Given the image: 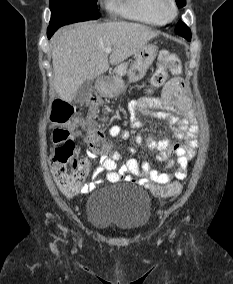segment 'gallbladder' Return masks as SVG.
Wrapping results in <instances>:
<instances>
[{
	"mask_svg": "<svg viewBox=\"0 0 233 284\" xmlns=\"http://www.w3.org/2000/svg\"><path fill=\"white\" fill-rule=\"evenodd\" d=\"M93 90V82L91 80L84 81L74 96V102L78 104L84 103L91 95Z\"/></svg>",
	"mask_w": 233,
	"mask_h": 284,
	"instance_id": "1",
	"label": "gallbladder"
}]
</instances>
